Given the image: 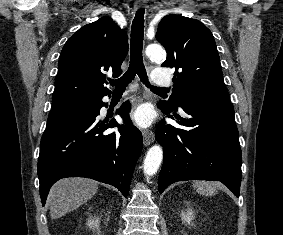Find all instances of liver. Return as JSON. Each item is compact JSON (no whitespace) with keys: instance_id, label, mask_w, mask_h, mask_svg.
I'll return each mask as SVG.
<instances>
[{"instance_id":"6515ba94","label":"liver","mask_w":283,"mask_h":235,"mask_svg":"<svg viewBox=\"0 0 283 235\" xmlns=\"http://www.w3.org/2000/svg\"><path fill=\"white\" fill-rule=\"evenodd\" d=\"M98 183L86 178H64L50 189L48 204L52 219L60 218L91 199Z\"/></svg>"}]
</instances>
